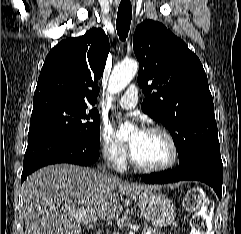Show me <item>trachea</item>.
Segmentation results:
<instances>
[{
  "label": "trachea",
  "mask_w": 241,
  "mask_h": 234,
  "mask_svg": "<svg viewBox=\"0 0 241 234\" xmlns=\"http://www.w3.org/2000/svg\"><path fill=\"white\" fill-rule=\"evenodd\" d=\"M132 19V5L129 0H121L116 20V29L121 40L128 36L130 23Z\"/></svg>",
  "instance_id": "1"
}]
</instances>
